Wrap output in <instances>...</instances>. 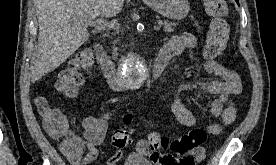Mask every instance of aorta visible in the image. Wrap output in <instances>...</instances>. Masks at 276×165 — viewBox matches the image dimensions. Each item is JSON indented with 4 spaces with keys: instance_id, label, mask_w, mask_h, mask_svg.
Wrapping results in <instances>:
<instances>
[{
    "instance_id": "obj_1",
    "label": "aorta",
    "mask_w": 276,
    "mask_h": 165,
    "mask_svg": "<svg viewBox=\"0 0 276 165\" xmlns=\"http://www.w3.org/2000/svg\"><path fill=\"white\" fill-rule=\"evenodd\" d=\"M147 68L143 61L135 56H130L123 62L121 75L123 81L132 88L140 87L146 77Z\"/></svg>"
}]
</instances>
